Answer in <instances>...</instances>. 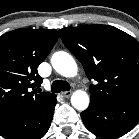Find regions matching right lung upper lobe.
<instances>
[{"instance_id":"right-lung-upper-lobe-1","label":"right lung upper lobe","mask_w":139,"mask_h":139,"mask_svg":"<svg viewBox=\"0 0 139 139\" xmlns=\"http://www.w3.org/2000/svg\"><path fill=\"white\" fill-rule=\"evenodd\" d=\"M56 30L17 29L0 36V128L25 117L55 94L38 92L37 67L55 45Z\"/></svg>"}]
</instances>
